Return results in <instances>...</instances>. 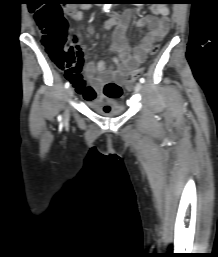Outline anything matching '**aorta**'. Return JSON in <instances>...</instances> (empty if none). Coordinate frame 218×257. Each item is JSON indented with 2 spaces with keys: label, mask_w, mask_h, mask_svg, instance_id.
<instances>
[{
  "label": "aorta",
  "mask_w": 218,
  "mask_h": 257,
  "mask_svg": "<svg viewBox=\"0 0 218 257\" xmlns=\"http://www.w3.org/2000/svg\"><path fill=\"white\" fill-rule=\"evenodd\" d=\"M111 4H104V11L108 12Z\"/></svg>",
  "instance_id": "obj_1"
}]
</instances>
